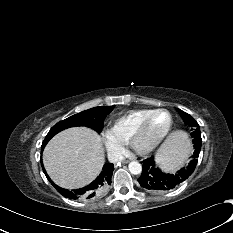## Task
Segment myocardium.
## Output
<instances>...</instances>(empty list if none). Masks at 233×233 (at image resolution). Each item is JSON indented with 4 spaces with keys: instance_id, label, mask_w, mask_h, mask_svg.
<instances>
[{
    "instance_id": "f54148a6",
    "label": "myocardium",
    "mask_w": 233,
    "mask_h": 233,
    "mask_svg": "<svg viewBox=\"0 0 233 233\" xmlns=\"http://www.w3.org/2000/svg\"><path fill=\"white\" fill-rule=\"evenodd\" d=\"M158 112H165L168 115V123L164 131L159 135L158 138H156L154 141L146 144V145H141L140 141L144 135V132L151 120V118ZM172 122H173V117L172 114L169 110L165 108H157L151 110L138 124L136 129L134 130L131 138H130V146L133 148L135 152H137L140 155H147L154 150H156L166 139L168 136L171 127H172Z\"/></svg>"
}]
</instances>
